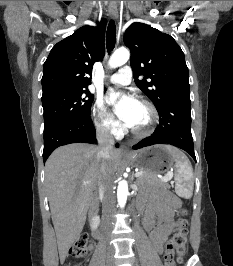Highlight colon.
<instances>
[{
	"label": "colon",
	"mask_w": 233,
	"mask_h": 266,
	"mask_svg": "<svg viewBox=\"0 0 233 266\" xmlns=\"http://www.w3.org/2000/svg\"><path fill=\"white\" fill-rule=\"evenodd\" d=\"M186 211H180V217L176 220L173 233L166 244L164 262L165 266H175V257L177 261H182L186 253L187 242V221L185 219ZM88 237L85 234L80 235L70 249V255L74 258H83L87 253Z\"/></svg>",
	"instance_id": "1"
}]
</instances>
